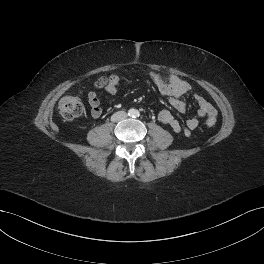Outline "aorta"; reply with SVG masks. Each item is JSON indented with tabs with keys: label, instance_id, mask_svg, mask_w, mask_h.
<instances>
[{
	"label": "aorta",
	"instance_id": "1",
	"mask_svg": "<svg viewBox=\"0 0 264 264\" xmlns=\"http://www.w3.org/2000/svg\"><path fill=\"white\" fill-rule=\"evenodd\" d=\"M131 114H132L133 116H136V115L138 114V111H137V110H133V111L131 112Z\"/></svg>",
	"mask_w": 264,
	"mask_h": 264
}]
</instances>
